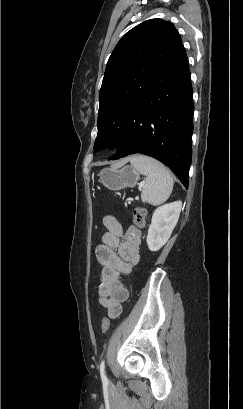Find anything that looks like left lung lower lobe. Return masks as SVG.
<instances>
[{"label":"left lung lower lobe","instance_id":"1","mask_svg":"<svg viewBox=\"0 0 243 409\" xmlns=\"http://www.w3.org/2000/svg\"><path fill=\"white\" fill-rule=\"evenodd\" d=\"M182 43L149 82L109 159L141 153L167 165L188 187L194 105Z\"/></svg>","mask_w":243,"mask_h":409}]
</instances>
